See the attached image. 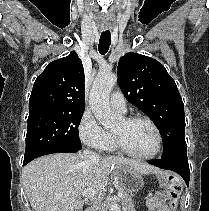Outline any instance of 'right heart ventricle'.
I'll use <instances>...</instances> for the list:
<instances>
[{
  "label": "right heart ventricle",
  "mask_w": 209,
  "mask_h": 211,
  "mask_svg": "<svg viewBox=\"0 0 209 211\" xmlns=\"http://www.w3.org/2000/svg\"><path fill=\"white\" fill-rule=\"evenodd\" d=\"M111 140L109 142V144L104 148L105 150L108 151H115L116 150V145H115V140H114V136L111 135Z\"/></svg>",
  "instance_id": "obj_1"
}]
</instances>
